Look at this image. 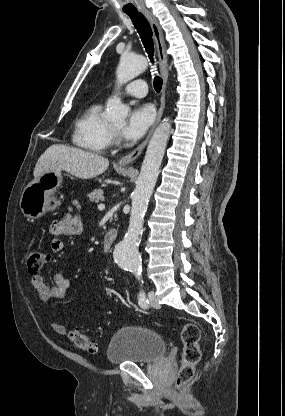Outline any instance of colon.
Instances as JSON below:
<instances>
[{
	"instance_id": "1",
	"label": "colon",
	"mask_w": 285,
	"mask_h": 416,
	"mask_svg": "<svg viewBox=\"0 0 285 416\" xmlns=\"http://www.w3.org/2000/svg\"><path fill=\"white\" fill-rule=\"evenodd\" d=\"M46 260V254L36 249H28L24 253L27 270L34 276L40 273ZM66 335L71 343L81 351L93 353L97 350V342L78 328L68 330ZM180 335L183 343V366L178 373L175 390L177 399L185 403L187 401L186 387L193 379L194 367L201 357L200 329L196 324L185 323L180 327Z\"/></svg>"
}]
</instances>
